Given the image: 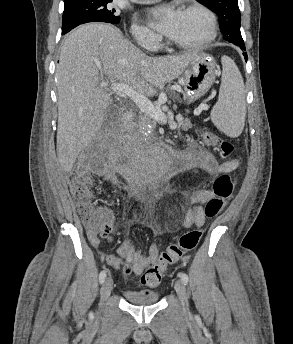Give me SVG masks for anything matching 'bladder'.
Listing matches in <instances>:
<instances>
[{
    "mask_svg": "<svg viewBox=\"0 0 293 344\" xmlns=\"http://www.w3.org/2000/svg\"><path fill=\"white\" fill-rule=\"evenodd\" d=\"M125 299L134 305L149 306L159 301V293L146 290H124Z\"/></svg>",
    "mask_w": 293,
    "mask_h": 344,
    "instance_id": "1",
    "label": "bladder"
}]
</instances>
